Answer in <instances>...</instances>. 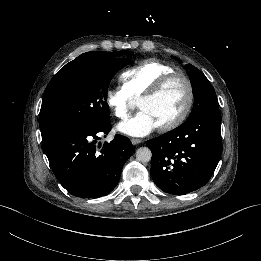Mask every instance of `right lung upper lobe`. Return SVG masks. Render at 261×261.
<instances>
[{
	"label": "right lung upper lobe",
	"instance_id": "right-lung-upper-lobe-1",
	"mask_svg": "<svg viewBox=\"0 0 261 261\" xmlns=\"http://www.w3.org/2000/svg\"><path fill=\"white\" fill-rule=\"evenodd\" d=\"M125 52L126 51H119V52L92 51V52L84 53L79 57H77L76 59L85 58V57L112 59L115 56L125 54ZM39 125L41 131H48L52 134L58 131L56 116L50 105L49 87L46 88L44 93L43 102L39 115Z\"/></svg>",
	"mask_w": 261,
	"mask_h": 261
}]
</instances>
